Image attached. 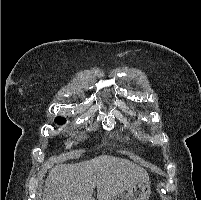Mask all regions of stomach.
<instances>
[{
    "instance_id": "1",
    "label": "stomach",
    "mask_w": 201,
    "mask_h": 200,
    "mask_svg": "<svg viewBox=\"0 0 201 200\" xmlns=\"http://www.w3.org/2000/svg\"><path fill=\"white\" fill-rule=\"evenodd\" d=\"M150 193L149 181L140 180L130 186L126 192L111 198V200H149Z\"/></svg>"
}]
</instances>
